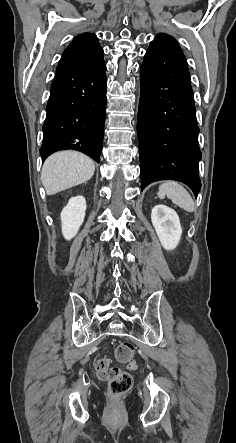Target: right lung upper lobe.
<instances>
[{
	"label": "right lung upper lobe",
	"instance_id": "obj_1",
	"mask_svg": "<svg viewBox=\"0 0 236 443\" xmlns=\"http://www.w3.org/2000/svg\"><path fill=\"white\" fill-rule=\"evenodd\" d=\"M103 49L95 34L77 35L65 49L58 65L93 67L104 63Z\"/></svg>",
	"mask_w": 236,
	"mask_h": 443
}]
</instances>
